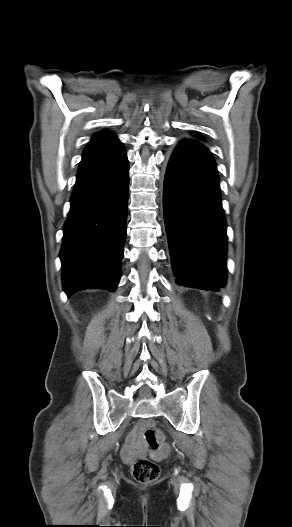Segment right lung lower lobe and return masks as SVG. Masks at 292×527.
Masks as SVG:
<instances>
[{
    "instance_id": "1",
    "label": "right lung lower lobe",
    "mask_w": 292,
    "mask_h": 527,
    "mask_svg": "<svg viewBox=\"0 0 292 527\" xmlns=\"http://www.w3.org/2000/svg\"><path fill=\"white\" fill-rule=\"evenodd\" d=\"M129 166L119 140L89 143L82 155L60 250L64 291H114L126 236Z\"/></svg>"
}]
</instances>
